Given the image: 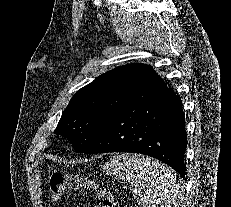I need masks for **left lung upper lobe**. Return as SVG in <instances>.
I'll return each instance as SVG.
<instances>
[{"label": "left lung upper lobe", "mask_w": 231, "mask_h": 207, "mask_svg": "<svg viewBox=\"0 0 231 207\" xmlns=\"http://www.w3.org/2000/svg\"><path fill=\"white\" fill-rule=\"evenodd\" d=\"M153 69L145 64L119 66L81 88L63 111L54 133L67 137L77 152H85L108 121L149 80Z\"/></svg>", "instance_id": "left-lung-upper-lobe-1"}]
</instances>
